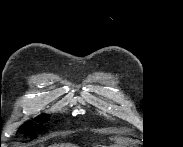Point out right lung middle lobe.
I'll return each instance as SVG.
<instances>
[{
	"label": "right lung middle lobe",
	"instance_id": "right-lung-middle-lobe-1",
	"mask_svg": "<svg viewBox=\"0 0 183 147\" xmlns=\"http://www.w3.org/2000/svg\"><path fill=\"white\" fill-rule=\"evenodd\" d=\"M47 119L46 115H42L40 117H37L35 119L36 122H45ZM44 129V126L42 124H36L32 121H28L26 122L22 127H21V131L29 134L32 138H36V131H42Z\"/></svg>",
	"mask_w": 183,
	"mask_h": 147
}]
</instances>
